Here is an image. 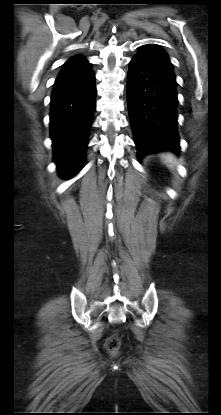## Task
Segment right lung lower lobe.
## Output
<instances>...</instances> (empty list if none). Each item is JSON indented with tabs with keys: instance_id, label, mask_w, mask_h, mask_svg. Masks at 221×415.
<instances>
[{
	"instance_id": "right-lung-lower-lobe-1",
	"label": "right lung lower lobe",
	"mask_w": 221,
	"mask_h": 415,
	"mask_svg": "<svg viewBox=\"0 0 221 415\" xmlns=\"http://www.w3.org/2000/svg\"><path fill=\"white\" fill-rule=\"evenodd\" d=\"M95 98V75L89 63L62 68L51 95L50 137L54 162L66 178L84 167Z\"/></svg>"
}]
</instances>
